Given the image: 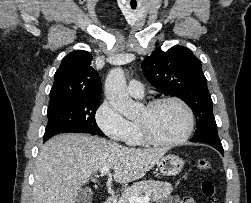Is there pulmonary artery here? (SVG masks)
<instances>
[{
  "label": "pulmonary artery",
  "mask_w": 251,
  "mask_h": 203,
  "mask_svg": "<svg viewBox=\"0 0 251 203\" xmlns=\"http://www.w3.org/2000/svg\"><path fill=\"white\" fill-rule=\"evenodd\" d=\"M128 92L135 98H142L144 96V86L140 81L133 79L128 84Z\"/></svg>",
  "instance_id": "1"
}]
</instances>
